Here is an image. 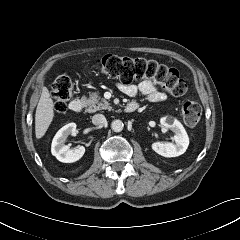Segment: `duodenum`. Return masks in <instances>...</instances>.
<instances>
[{
  "label": "duodenum",
  "mask_w": 240,
  "mask_h": 240,
  "mask_svg": "<svg viewBox=\"0 0 240 240\" xmlns=\"http://www.w3.org/2000/svg\"><path fill=\"white\" fill-rule=\"evenodd\" d=\"M70 111L78 113L82 109V101L79 98H74L69 104ZM138 109V104L135 102L128 103L124 107V111L127 113H132Z\"/></svg>",
  "instance_id": "410a0bca"
}]
</instances>
